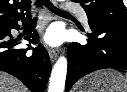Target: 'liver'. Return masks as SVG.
<instances>
[{
    "label": "liver",
    "instance_id": "1",
    "mask_svg": "<svg viewBox=\"0 0 127 92\" xmlns=\"http://www.w3.org/2000/svg\"><path fill=\"white\" fill-rule=\"evenodd\" d=\"M0 92H28V89L15 77L0 71Z\"/></svg>",
    "mask_w": 127,
    "mask_h": 92
}]
</instances>
